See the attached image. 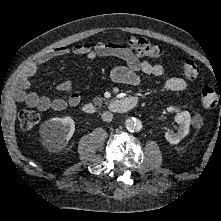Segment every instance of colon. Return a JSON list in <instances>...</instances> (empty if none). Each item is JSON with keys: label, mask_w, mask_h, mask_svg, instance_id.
Returning a JSON list of instances; mask_svg holds the SVG:
<instances>
[{"label": "colon", "mask_w": 221, "mask_h": 221, "mask_svg": "<svg viewBox=\"0 0 221 221\" xmlns=\"http://www.w3.org/2000/svg\"><path fill=\"white\" fill-rule=\"evenodd\" d=\"M121 46V45H118ZM128 51L151 59H158L163 55L161 45L151 42L145 38L129 37L126 40ZM182 76L187 80H196L199 77L200 69L197 63L186 59L180 66ZM200 101L204 109H211L221 104V96L211 87H204L200 92ZM39 122V114L35 110H24L19 115V123L24 129H31Z\"/></svg>", "instance_id": "5ec220e1"}]
</instances>
